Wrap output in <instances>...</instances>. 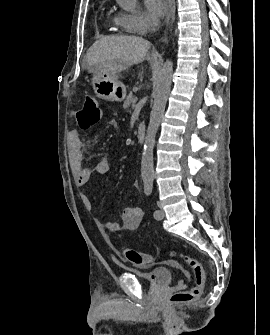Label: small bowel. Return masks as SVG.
Segmentation results:
<instances>
[{
  "label": "small bowel",
  "mask_w": 270,
  "mask_h": 335,
  "mask_svg": "<svg viewBox=\"0 0 270 335\" xmlns=\"http://www.w3.org/2000/svg\"><path fill=\"white\" fill-rule=\"evenodd\" d=\"M68 140V162L75 184L84 187L91 176L106 175L110 166L106 160H99L93 166H87L84 162L83 145L76 131L69 132ZM83 205L91 208V201L86 195L81 196ZM143 219V210L139 206H131L123 209L121 222H103L102 226L107 232H120L126 230H136Z\"/></svg>",
  "instance_id": "c3829d8e"
}]
</instances>
